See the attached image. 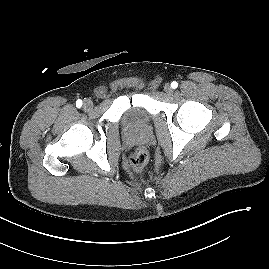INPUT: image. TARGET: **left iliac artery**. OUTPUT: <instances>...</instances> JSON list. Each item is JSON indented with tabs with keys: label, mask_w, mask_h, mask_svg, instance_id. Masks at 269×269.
<instances>
[{
	"label": "left iliac artery",
	"mask_w": 269,
	"mask_h": 269,
	"mask_svg": "<svg viewBox=\"0 0 269 269\" xmlns=\"http://www.w3.org/2000/svg\"><path fill=\"white\" fill-rule=\"evenodd\" d=\"M171 87H172L173 89H176V88L178 87V83H177L176 81H173V82L171 83Z\"/></svg>",
	"instance_id": "44dca946"
}]
</instances>
